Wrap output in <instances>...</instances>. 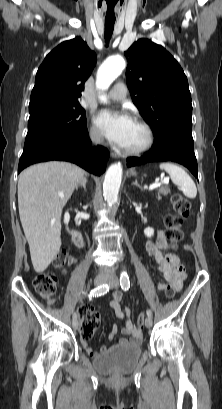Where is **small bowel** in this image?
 I'll list each match as a JSON object with an SVG mask.
<instances>
[{"mask_svg":"<svg viewBox=\"0 0 222 409\" xmlns=\"http://www.w3.org/2000/svg\"><path fill=\"white\" fill-rule=\"evenodd\" d=\"M166 247L167 241L162 231L158 232L156 240H149L146 243L147 254L155 260L158 270L164 279V281L160 282L157 287L159 290H164L167 286H171L175 289V291H180L185 278V261L183 260L182 256H173L171 254L164 255L163 250H165ZM76 262L77 259L71 257L68 260V267L74 265ZM63 272L66 273L67 268L64 269ZM122 299V292L115 291L112 293L109 300V306L114 310L117 318L124 321V325L122 327L113 325L110 338H113L116 334L121 333L126 337L120 338L117 341V345L138 344L142 340V333L132 323L129 308H122ZM83 345L90 356H95L97 354L94 349L88 346L86 340L83 341ZM108 349L109 348L107 346H101L100 352L103 354L107 352Z\"/></svg>","mask_w":222,"mask_h":409,"instance_id":"c3829d8e","label":"small bowel"}]
</instances>
